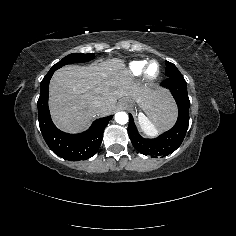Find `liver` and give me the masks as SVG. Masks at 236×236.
Instances as JSON below:
<instances>
[{"label":"liver","mask_w":236,"mask_h":236,"mask_svg":"<svg viewBox=\"0 0 236 236\" xmlns=\"http://www.w3.org/2000/svg\"><path fill=\"white\" fill-rule=\"evenodd\" d=\"M121 97L134 99L159 125L168 126V121L174 120L176 102L148 92L143 83L128 74L127 63L118 57L57 69L49 81L50 118L61 132L81 134L95 117L111 115ZM96 101L101 102L98 109L91 107Z\"/></svg>","instance_id":"obj_1"}]
</instances>
